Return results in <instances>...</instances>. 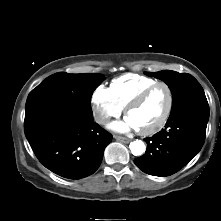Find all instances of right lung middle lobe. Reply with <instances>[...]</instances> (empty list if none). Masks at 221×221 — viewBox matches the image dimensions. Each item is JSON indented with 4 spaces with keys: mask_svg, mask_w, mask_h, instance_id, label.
I'll list each match as a JSON object with an SVG mask.
<instances>
[{
    "mask_svg": "<svg viewBox=\"0 0 221 221\" xmlns=\"http://www.w3.org/2000/svg\"><path fill=\"white\" fill-rule=\"evenodd\" d=\"M104 79L102 74L97 73L53 74L30 92L25 109L27 111L41 103L55 102L85 118H92L91 96Z\"/></svg>",
    "mask_w": 221,
    "mask_h": 221,
    "instance_id": "dd1d6c3e",
    "label": "right lung middle lobe"
}]
</instances>
